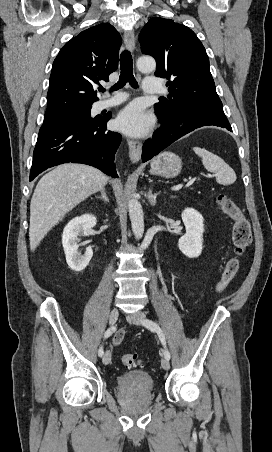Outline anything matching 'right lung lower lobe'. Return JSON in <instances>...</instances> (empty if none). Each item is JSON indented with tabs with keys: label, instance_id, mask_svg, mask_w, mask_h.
Instances as JSON below:
<instances>
[{
	"label": "right lung lower lobe",
	"instance_id": "right-lung-lower-lobe-1",
	"mask_svg": "<svg viewBox=\"0 0 272 452\" xmlns=\"http://www.w3.org/2000/svg\"><path fill=\"white\" fill-rule=\"evenodd\" d=\"M110 117L44 118L33 153L29 180L62 163H83L118 177L114 164L121 135L107 130Z\"/></svg>",
	"mask_w": 272,
	"mask_h": 452
}]
</instances>
